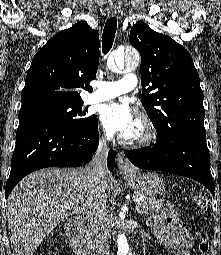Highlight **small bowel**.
Returning <instances> with one entry per match:
<instances>
[{
    "instance_id": "small-bowel-1",
    "label": "small bowel",
    "mask_w": 221,
    "mask_h": 255,
    "mask_svg": "<svg viewBox=\"0 0 221 255\" xmlns=\"http://www.w3.org/2000/svg\"><path fill=\"white\" fill-rule=\"evenodd\" d=\"M147 225L154 231L159 243L172 249L175 255H191L193 238L170 206L159 215L150 216Z\"/></svg>"
}]
</instances>
